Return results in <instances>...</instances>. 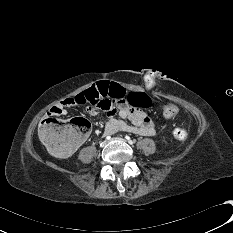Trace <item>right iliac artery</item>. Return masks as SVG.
Returning a JSON list of instances; mask_svg holds the SVG:
<instances>
[{
  "instance_id": "right-iliac-artery-1",
  "label": "right iliac artery",
  "mask_w": 233,
  "mask_h": 233,
  "mask_svg": "<svg viewBox=\"0 0 233 233\" xmlns=\"http://www.w3.org/2000/svg\"><path fill=\"white\" fill-rule=\"evenodd\" d=\"M111 137L110 136H106V139L109 140Z\"/></svg>"
}]
</instances>
